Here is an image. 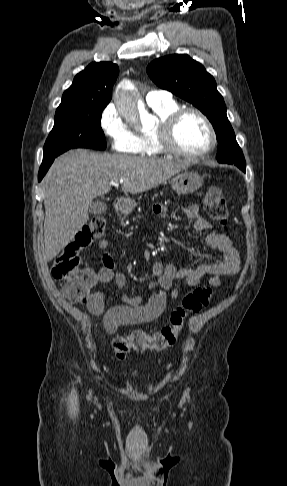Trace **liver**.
Segmentation results:
<instances>
[{
	"mask_svg": "<svg viewBox=\"0 0 287 486\" xmlns=\"http://www.w3.org/2000/svg\"><path fill=\"white\" fill-rule=\"evenodd\" d=\"M189 166L187 161L98 154L70 150L55 159L45 182V256L52 260L89 220V207L97 196L110 192L124 179L123 189L142 193Z\"/></svg>",
	"mask_w": 287,
	"mask_h": 486,
	"instance_id": "obj_1",
	"label": "liver"
}]
</instances>
